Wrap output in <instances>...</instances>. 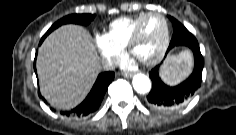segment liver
<instances>
[{"label":"liver","mask_w":236,"mask_h":135,"mask_svg":"<svg viewBox=\"0 0 236 135\" xmlns=\"http://www.w3.org/2000/svg\"><path fill=\"white\" fill-rule=\"evenodd\" d=\"M36 67L44 98L55 108L70 109L91 89L101 61L89 33L81 26L67 24L44 40Z\"/></svg>","instance_id":"6515ba94"}]
</instances>
